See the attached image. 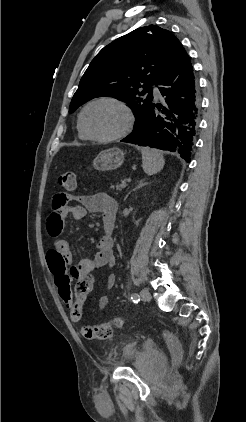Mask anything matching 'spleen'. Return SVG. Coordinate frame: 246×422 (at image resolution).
<instances>
[{"label":"spleen","mask_w":246,"mask_h":422,"mask_svg":"<svg viewBox=\"0 0 246 422\" xmlns=\"http://www.w3.org/2000/svg\"><path fill=\"white\" fill-rule=\"evenodd\" d=\"M165 164L162 153L155 149H142V167L146 174L154 175L160 172Z\"/></svg>","instance_id":"obj_1"}]
</instances>
